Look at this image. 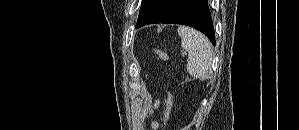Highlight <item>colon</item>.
Returning a JSON list of instances; mask_svg holds the SVG:
<instances>
[{
  "instance_id": "5ec220e1",
  "label": "colon",
  "mask_w": 299,
  "mask_h": 130,
  "mask_svg": "<svg viewBox=\"0 0 299 130\" xmlns=\"http://www.w3.org/2000/svg\"><path fill=\"white\" fill-rule=\"evenodd\" d=\"M153 52L160 60L167 61V59H168L167 55L163 51H161L159 49H154ZM171 112H172V101H171L170 95H168L167 99H166V108H165L164 117H163L165 125H167L170 121Z\"/></svg>"
}]
</instances>
